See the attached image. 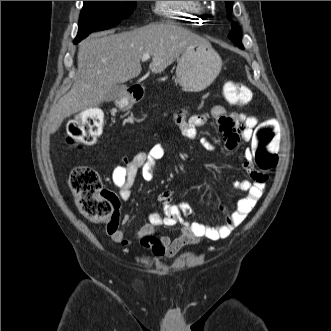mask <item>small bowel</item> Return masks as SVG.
Here are the masks:
<instances>
[{"instance_id": "obj_1", "label": "small bowel", "mask_w": 331, "mask_h": 331, "mask_svg": "<svg viewBox=\"0 0 331 331\" xmlns=\"http://www.w3.org/2000/svg\"><path fill=\"white\" fill-rule=\"evenodd\" d=\"M175 123L182 135L194 140L198 137V129L205 125L211 118L215 121L224 138L225 149L234 150L240 141L248 143L253 138L254 127L257 119L245 114L229 113L223 106H213L209 112L201 114H190L186 110L175 113ZM200 144L208 150H214L217 146L214 142L202 138ZM166 154V147L162 143L153 145L146 152H139L134 157H123L112 172V182L117 187L119 197L122 201L131 198V188L137 175L140 173L143 179L151 180L154 176L156 163ZM244 169L248 173L249 180H237L233 183L236 189L246 193L235 207V210L227 217L221 225H209L205 223L188 221L186 218L194 216V211L185 202L173 203L172 192L164 190L159 194V201L163 205L164 215L153 212L149 216V223L142 226L133 234L116 228H108L111 239L122 245L129 246L133 240H138L140 245L149 250L156 257H173L183 247L199 242L203 238L220 240L227 238L231 232L239 226L253 210L262 197L268 176L265 171L255 167L253 163L252 149L245 150ZM131 216L125 214L122 223L130 221ZM181 226V232L176 237L169 235H154L155 228L159 226Z\"/></svg>"}]
</instances>
